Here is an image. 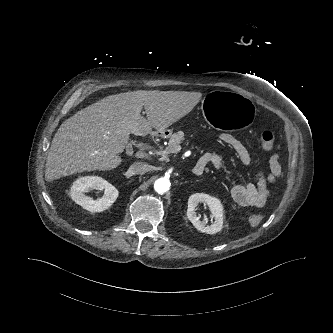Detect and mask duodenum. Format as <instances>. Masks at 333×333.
Instances as JSON below:
<instances>
[{
  "mask_svg": "<svg viewBox=\"0 0 333 333\" xmlns=\"http://www.w3.org/2000/svg\"><path fill=\"white\" fill-rule=\"evenodd\" d=\"M161 136H162V133L160 131H155L149 136V139L153 140V139L159 138ZM194 173L196 175H201L203 173V165L201 163H196V165L194 167Z\"/></svg>",
  "mask_w": 333,
  "mask_h": 333,
  "instance_id": "duodenum-1",
  "label": "duodenum"
}]
</instances>
